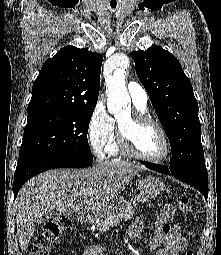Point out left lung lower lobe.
<instances>
[{"label":"left lung lower lobe","instance_id":"left-lung-lower-lobe-1","mask_svg":"<svg viewBox=\"0 0 221 255\" xmlns=\"http://www.w3.org/2000/svg\"><path fill=\"white\" fill-rule=\"evenodd\" d=\"M147 168L152 169L154 171L170 175L173 174L166 166L158 165V164H144ZM180 181L187 183L196 189H198L207 199L208 197V174L206 168L199 169L195 171L173 174Z\"/></svg>","mask_w":221,"mask_h":255}]
</instances>
